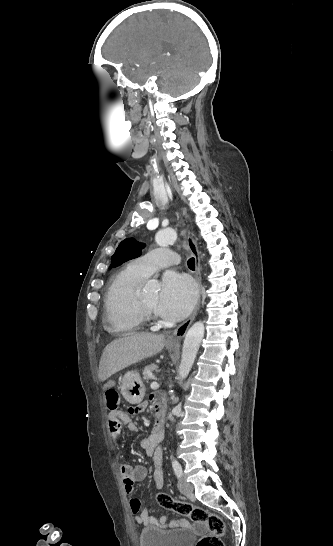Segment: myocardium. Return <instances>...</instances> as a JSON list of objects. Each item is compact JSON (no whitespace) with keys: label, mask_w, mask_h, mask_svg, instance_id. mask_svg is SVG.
Masks as SVG:
<instances>
[{"label":"myocardium","mask_w":333,"mask_h":546,"mask_svg":"<svg viewBox=\"0 0 333 546\" xmlns=\"http://www.w3.org/2000/svg\"><path fill=\"white\" fill-rule=\"evenodd\" d=\"M136 306H137V309L139 311V313L141 314V316L143 317L144 320H147V321H156L157 320V314L156 312L147 307L141 296L137 294L136 296Z\"/></svg>","instance_id":"obj_1"}]
</instances>
